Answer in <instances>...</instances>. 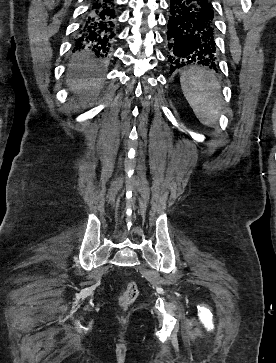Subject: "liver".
Wrapping results in <instances>:
<instances>
[{"instance_id": "liver-1", "label": "liver", "mask_w": 276, "mask_h": 363, "mask_svg": "<svg viewBox=\"0 0 276 363\" xmlns=\"http://www.w3.org/2000/svg\"><path fill=\"white\" fill-rule=\"evenodd\" d=\"M68 68L70 70L68 86L72 92L81 95V99H89L100 90L102 80L96 77L99 76L101 68L90 53L75 54Z\"/></svg>"}]
</instances>
